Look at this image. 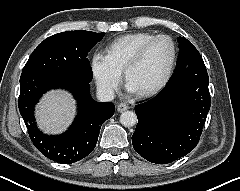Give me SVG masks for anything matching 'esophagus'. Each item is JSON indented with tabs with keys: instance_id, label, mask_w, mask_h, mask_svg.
<instances>
[{
	"instance_id": "obj_1",
	"label": "esophagus",
	"mask_w": 240,
	"mask_h": 191,
	"mask_svg": "<svg viewBox=\"0 0 240 191\" xmlns=\"http://www.w3.org/2000/svg\"><path fill=\"white\" fill-rule=\"evenodd\" d=\"M129 109V106L125 103H120L117 105L118 112H123Z\"/></svg>"
}]
</instances>
